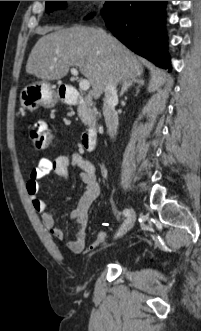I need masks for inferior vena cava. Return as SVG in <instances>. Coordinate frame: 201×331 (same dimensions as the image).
I'll use <instances>...</instances> for the list:
<instances>
[{
	"instance_id": "602c4592",
	"label": "inferior vena cava",
	"mask_w": 201,
	"mask_h": 331,
	"mask_svg": "<svg viewBox=\"0 0 201 331\" xmlns=\"http://www.w3.org/2000/svg\"><path fill=\"white\" fill-rule=\"evenodd\" d=\"M104 93L103 116L105 118L107 131L109 135L114 138L117 134L119 124L118 114L115 111V106L118 103L116 84L114 82H110Z\"/></svg>"
}]
</instances>
